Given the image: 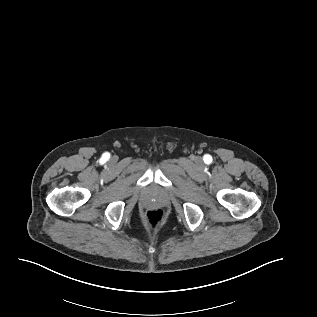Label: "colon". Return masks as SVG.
<instances>
[{"instance_id": "5ec220e1", "label": "colon", "mask_w": 317, "mask_h": 317, "mask_svg": "<svg viewBox=\"0 0 317 317\" xmlns=\"http://www.w3.org/2000/svg\"><path fill=\"white\" fill-rule=\"evenodd\" d=\"M164 217V212L162 209L154 208L147 211L145 215L146 222L151 226L159 225Z\"/></svg>"}]
</instances>
